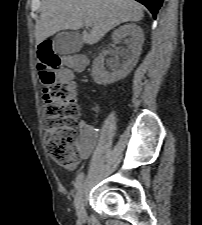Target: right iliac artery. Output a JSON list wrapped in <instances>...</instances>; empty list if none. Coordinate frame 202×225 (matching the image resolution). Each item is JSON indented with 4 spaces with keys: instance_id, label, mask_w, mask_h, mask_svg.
<instances>
[{
    "instance_id": "82829eb1",
    "label": "right iliac artery",
    "mask_w": 202,
    "mask_h": 225,
    "mask_svg": "<svg viewBox=\"0 0 202 225\" xmlns=\"http://www.w3.org/2000/svg\"><path fill=\"white\" fill-rule=\"evenodd\" d=\"M83 173L79 174L77 177H76V181H75V188L78 189L82 180H83Z\"/></svg>"
}]
</instances>
